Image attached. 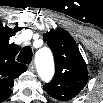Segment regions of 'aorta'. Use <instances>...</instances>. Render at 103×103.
<instances>
[{"label": "aorta", "instance_id": "obj_1", "mask_svg": "<svg viewBox=\"0 0 103 103\" xmlns=\"http://www.w3.org/2000/svg\"><path fill=\"white\" fill-rule=\"evenodd\" d=\"M35 63L40 78L49 81L54 74V61L49 48L43 47L35 54Z\"/></svg>", "mask_w": 103, "mask_h": 103}]
</instances>
